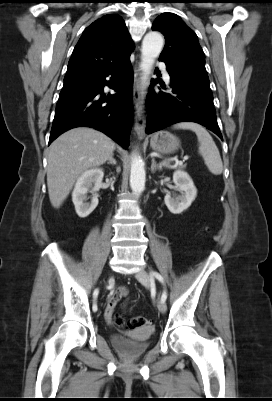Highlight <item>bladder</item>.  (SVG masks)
<instances>
[{
    "label": "bladder",
    "mask_w": 272,
    "mask_h": 401,
    "mask_svg": "<svg viewBox=\"0 0 272 401\" xmlns=\"http://www.w3.org/2000/svg\"><path fill=\"white\" fill-rule=\"evenodd\" d=\"M153 332V327L143 326L126 334H114L110 341L113 348L122 356L127 358L138 357L148 350V339Z\"/></svg>",
    "instance_id": "1"
}]
</instances>
